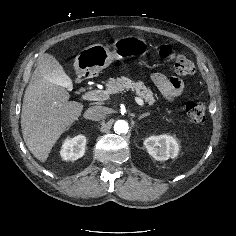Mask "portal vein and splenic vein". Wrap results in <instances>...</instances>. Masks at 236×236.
<instances>
[{"label":"portal vein and splenic vein","instance_id":"1","mask_svg":"<svg viewBox=\"0 0 236 236\" xmlns=\"http://www.w3.org/2000/svg\"><path fill=\"white\" fill-rule=\"evenodd\" d=\"M109 98V95L105 91L94 90L88 91L82 95V99L88 101H104ZM135 101L138 105L144 106V101L140 97H135Z\"/></svg>","mask_w":236,"mask_h":236}]
</instances>
